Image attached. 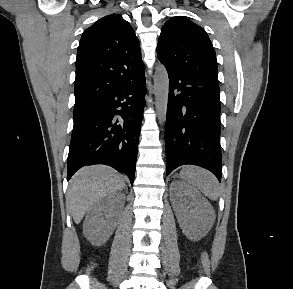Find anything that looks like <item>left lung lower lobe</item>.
<instances>
[{"label": "left lung lower lobe", "instance_id": "1", "mask_svg": "<svg viewBox=\"0 0 293 289\" xmlns=\"http://www.w3.org/2000/svg\"><path fill=\"white\" fill-rule=\"evenodd\" d=\"M166 172L185 164L222 176L219 83L168 71Z\"/></svg>", "mask_w": 293, "mask_h": 289}]
</instances>
